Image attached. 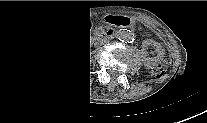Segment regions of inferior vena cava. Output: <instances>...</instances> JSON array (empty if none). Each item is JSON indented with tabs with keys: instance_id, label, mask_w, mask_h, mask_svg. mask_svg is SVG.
Returning <instances> with one entry per match:
<instances>
[{
	"instance_id": "602c4592",
	"label": "inferior vena cava",
	"mask_w": 207,
	"mask_h": 123,
	"mask_svg": "<svg viewBox=\"0 0 207 123\" xmlns=\"http://www.w3.org/2000/svg\"><path fill=\"white\" fill-rule=\"evenodd\" d=\"M109 42H108V40L106 39V38H103V39H101L100 40V42L98 43V44H100V45H107Z\"/></svg>"
}]
</instances>
